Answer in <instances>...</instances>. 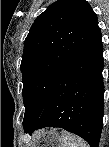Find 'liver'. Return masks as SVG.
I'll list each match as a JSON object with an SVG mask.
<instances>
[{
  "label": "liver",
  "mask_w": 109,
  "mask_h": 147,
  "mask_svg": "<svg viewBox=\"0 0 109 147\" xmlns=\"http://www.w3.org/2000/svg\"><path fill=\"white\" fill-rule=\"evenodd\" d=\"M41 131H42V130H38V131L35 132V134H37V133H39V132H41ZM35 134H34V135H35Z\"/></svg>",
  "instance_id": "liver-1"
}]
</instances>
